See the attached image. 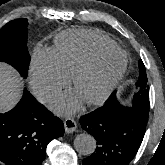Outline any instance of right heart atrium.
Returning <instances> with one entry per match:
<instances>
[{"label": "right heart atrium", "instance_id": "1", "mask_svg": "<svg viewBox=\"0 0 165 165\" xmlns=\"http://www.w3.org/2000/svg\"><path fill=\"white\" fill-rule=\"evenodd\" d=\"M68 80V74L58 64L51 50L37 49L34 52L31 85L41 99H50L68 83Z\"/></svg>", "mask_w": 165, "mask_h": 165}]
</instances>
